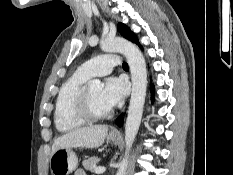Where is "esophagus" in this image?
<instances>
[{"label": "esophagus", "mask_w": 233, "mask_h": 175, "mask_svg": "<svg viewBox=\"0 0 233 175\" xmlns=\"http://www.w3.org/2000/svg\"><path fill=\"white\" fill-rule=\"evenodd\" d=\"M111 134H113V135L119 134L118 129H117V128H113V129L111 130Z\"/></svg>", "instance_id": "esophagus-1"}]
</instances>
